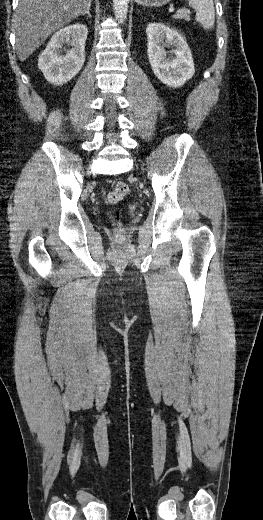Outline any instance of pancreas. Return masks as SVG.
Returning a JSON list of instances; mask_svg holds the SVG:
<instances>
[{
    "mask_svg": "<svg viewBox=\"0 0 263 520\" xmlns=\"http://www.w3.org/2000/svg\"><path fill=\"white\" fill-rule=\"evenodd\" d=\"M175 19H185L186 21L190 20V16L186 10H180L174 16Z\"/></svg>",
    "mask_w": 263,
    "mask_h": 520,
    "instance_id": "1",
    "label": "pancreas"
}]
</instances>
